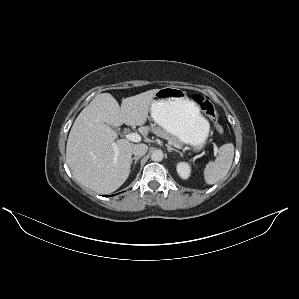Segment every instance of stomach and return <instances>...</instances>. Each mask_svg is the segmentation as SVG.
I'll return each instance as SVG.
<instances>
[{
	"instance_id": "1",
	"label": "stomach",
	"mask_w": 299,
	"mask_h": 299,
	"mask_svg": "<svg viewBox=\"0 0 299 299\" xmlns=\"http://www.w3.org/2000/svg\"><path fill=\"white\" fill-rule=\"evenodd\" d=\"M150 113L157 125L181 143L200 148L208 138V120L180 88L159 89L153 97Z\"/></svg>"
}]
</instances>
